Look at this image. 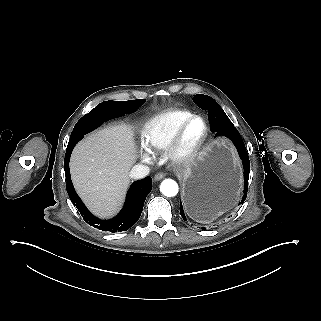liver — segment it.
Returning a JSON list of instances; mask_svg holds the SVG:
<instances>
[{
  "instance_id": "liver-1",
  "label": "liver",
  "mask_w": 321,
  "mask_h": 321,
  "mask_svg": "<svg viewBox=\"0 0 321 321\" xmlns=\"http://www.w3.org/2000/svg\"><path fill=\"white\" fill-rule=\"evenodd\" d=\"M133 160L131 136L122 125L98 131L75 148L70 163L72 178L97 214L105 216L117 209Z\"/></svg>"
}]
</instances>
